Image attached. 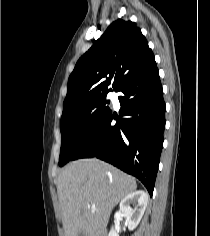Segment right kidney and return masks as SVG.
Wrapping results in <instances>:
<instances>
[{"instance_id": "right-kidney-1", "label": "right kidney", "mask_w": 210, "mask_h": 236, "mask_svg": "<svg viewBox=\"0 0 210 236\" xmlns=\"http://www.w3.org/2000/svg\"><path fill=\"white\" fill-rule=\"evenodd\" d=\"M147 202L148 195L142 190L130 193L120 202L118 215L126 218L128 229L130 231L134 230L138 226L145 212ZM130 204L134 205L135 208L132 209ZM118 232L119 228L112 227L108 236H119Z\"/></svg>"}]
</instances>
